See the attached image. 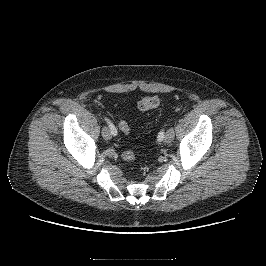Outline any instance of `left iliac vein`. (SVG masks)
I'll list each match as a JSON object with an SVG mask.
<instances>
[{
  "label": "left iliac vein",
  "instance_id": "1",
  "mask_svg": "<svg viewBox=\"0 0 266 266\" xmlns=\"http://www.w3.org/2000/svg\"><path fill=\"white\" fill-rule=\"evenodd\" d=\"M174 139V130L172 128L168 129L165 133L164 140L167 143L172 142Z\"/></svg>",
  "mask_w": 266,
  "mask_h": 266
}]
</instances>
